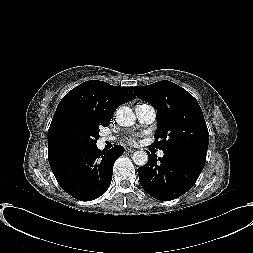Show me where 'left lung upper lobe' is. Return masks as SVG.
Instances as JSON below:
<instances>
[{
    "label": "left lung upper lobe",
    "mask_w": 253,
    "mask_h": 253,
    "mask_svg": "<svg viewBox=\"0 0 253 253\" xmlns=\"http://www.w3.org/2000/svg\"><path fill=\"white\" fill-rule=\"evenodd\" d=\"M131 90L157 110V140L152 146L163 152L180 151L206 159L207 125L200 105L189 92L167 80Z\"/></svg>",
    "instance_id": "left-lung-upper-lobe-1"
}]
</instances>
